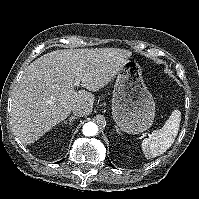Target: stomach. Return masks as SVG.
<instances>
[{"label": "stomach", "mask_w": 199, "mask_h": 199, "mask_svg": "<svg viewBox=\"0 0 199 199\" xmlns=\"http://www.w3.org/2000/svg\"><path fill=\"white\" fill-rule=\"evenodd\" d=\"M112 115L121 130L130 134L144 132L154 121L155 102L136 60L128 59L117 72Z\"/></svg>", "instance_id": "stomach-1"}]
</instances>
